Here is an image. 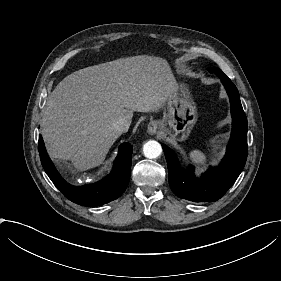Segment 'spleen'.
Masks as SVG:
<instances>
[{
	"instance_id": "obj_1",
	"label": "spleen",
	"mask_w": 281,
	"mask_h": 281,
	"mask_svg": "<svg viewBox=\"0 0 281 281\" xmlns=\"http://www.w3.org/2000/svg\"><path fill=\"white\" fill-rule=\"evenodd\" d=\"M190 157L192 158V160L195 163H198V164H203L206 159V155L203 152H201L200 150L191 151Z\"/></svg>"
}]
</instances>
